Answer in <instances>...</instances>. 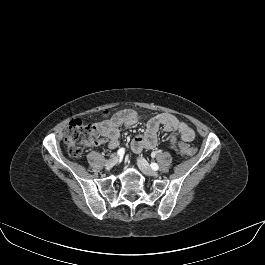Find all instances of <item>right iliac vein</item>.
Masks as SVG:
<instances>
[{"instance_id":"right-iliac-vein-1","label":"right iliac vein","mask_w":265,"mask_h":265,"mask_svg":"<svg viewBox=\"0 0 265 265\" xmlns=\"http://www.w3.org/2000/svg\"><path fill=\"white\" fill-rule=\"evenodd\" d=\"M117 160H118V157L116 155H113L111 157V159H109L108 161H106L105 168L106 169H111L116 164Z\"/></svg>"}]
</instances>
